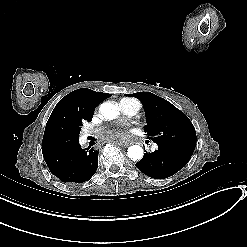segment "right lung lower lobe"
I'll return each instance as SVG.
<instances>
[{
  "label": "right lung lower lobe",
  "instance_id": "right-lung-lower-lobe-1",
  "mask_svg": "<svg viewBox=\"0 0 247 247\" xmlns=\"http://www.w3.org/2000/svg\"><path fill=\"white\" fill-rule=\"evenodd\" d=\"M50 172L62 182L88 181L98 167V151L82 149L79 142L62 150L43 152Z\"/></svg>",
  "mask_w": 247,
  "mask_h": 247
}]
</instances>
